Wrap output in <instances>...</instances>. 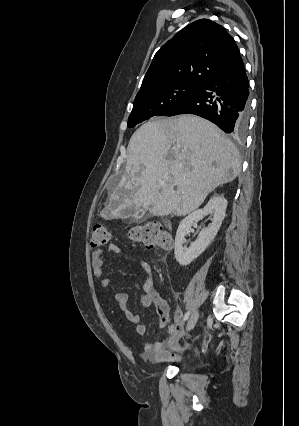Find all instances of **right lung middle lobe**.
Here are the masks:
<instances>
[{
    "label": "right lung middle lobe",
    "instance_id": "obj_1",
    "mask_svg": "<svg viewBox=\"0 0 299 426\" xmlns=\"http://www.w3.org/2000/svg\"><path fill=\"white\" fill-rule=\"evenodd\" d=\"M200 86L187 83H174L155 88L137 96L128 119V127L153 116H164L172 108L186 100Z\"/></svg>",
    "mask_w": 299,
    "mask_h": 426
}]
</instances>
